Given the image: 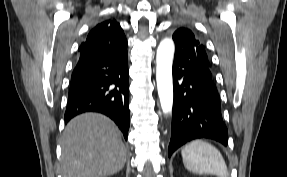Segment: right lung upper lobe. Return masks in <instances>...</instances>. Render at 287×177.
Here are the masks:
<instances>
[{"mask_svg": "<svg viewBox=\"0 0 287 177\" xmlns=\"http://www.w3.org/2000/svg\"><path fill=\"white\" fill-rule=\"evenodd\" d=\"M123 31L120 27L119 23H117L115 20H106L97 26H95L90 32H96V33H113V32H119ZM84 48V44L82 43L79 47V52H81Z\"/></svg>", "mask_w": 287, "mask_h": 177, "instance_id": "1", "label": "right lung upper lobe"}]
</instances>
